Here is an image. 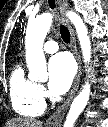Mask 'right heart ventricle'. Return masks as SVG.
I'll return each mask as SVG.
<instances>
[{
	"instance_id": "1",
	"label": "right heart ventricle",
	"mask_w": 108,
	"mask_h": 127,
	"mask_svg": "<svg viewBox=\"0 0 108 127\" xmlns=\"http://www.w3.org/2000/svg\"><path fill=\"white\" fill-rule=\"evenodd\" d=\"M9 96L13 110L24 117H36L43 113L45 105L38 94V85L26 77L17 65L11 72Z\"/></svg>"
}]
</instances>
